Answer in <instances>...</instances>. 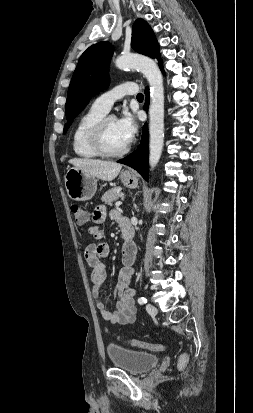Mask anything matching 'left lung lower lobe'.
I'll list each match as a JSON object with an SVG mask.
<instances>
[{
    "label": "left lung lower lobe",
    "instance_id": "0a47b994",
    "mask_svg": "<svg viewBox=\"0 0 253 413\" xmlns=\"http://www.w3.org/2000/svg\"><path fill=\"white\" fill-rule=\"evenodd\" d=\"M161 71L164 74L162 62L159 64ZM146 102L144 109L147 111L149 103L148 89L145 90ZM119 163L128 165L138 171L144 179L148 180V130L147 123L143 127L142 139L138 149L132 154L118 161Z\"/></svg>",
    "mask_w": 253,
    "mask_h": 413
}]
</instances>
